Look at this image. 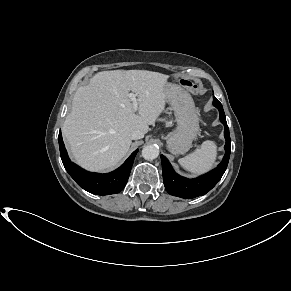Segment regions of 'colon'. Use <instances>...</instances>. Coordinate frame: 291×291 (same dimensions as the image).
I'll use <instances>...</instances> for the list:
<instances>
[{
	"label": "colon",
	"mask_w": 291,
	"mask_h": 291,
	"mask_svg": "<svg viewBox=\"0 0 291 291\" xmlns=\"http://www.w3.org/2000/svg\"><path fill=\"white\" fill-rule=\"evenodd\" d=\"M182 84L185 85V86H190L191 85V82L189 80H182Z\"/></svg>",
	"instance_id": "5ec220e1"
}]
</instances>
